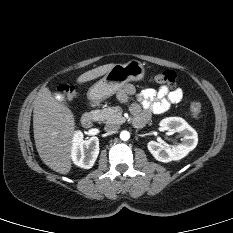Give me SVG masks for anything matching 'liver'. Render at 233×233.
Listing matches in <instances>:
<instances>
[{
    "label": "liver",
    "instance_id": "6515ba94",
    "mask_svg": "<svg viewBox=\"0 0 233 233\" xmlns=\"http://www.w3.org/2000/svg\"><path fill=\"white\" fill-rule=\"evenodd\" d=\"M114 65L111 63L89 70L77 78V83L94 80L106 74ZM75 127L71 110L56 101L49 88L42 87L34 101V140L41 160L57 173L68 174L71 170Z\"/></svg>",
    "mask_w": 233,
    "mask_h": 233
}]
</instances>
